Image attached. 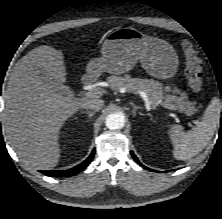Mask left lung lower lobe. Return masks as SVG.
I'll list each match as a JSON object with an SVG mask.
<instances>
[{"mask_svg":"<svg viewBox=\"0 0 222 219\" xmlns=\"http://www.w3.org/2000/svg\"><path fill=\"white\" fill-rule=\"evenodd\" d=\"M131 154H132V157L134 158V160L135 161H138V159H137V157L135 156V154L133 153V152H131ZM139 162V161H138ZM144 168H146L147 170H150L149 168H147V167H144ZM153 171V170H152Z\"/></svg>","mask_w":222,"mask_h":219,"instance_id":"0a47b994","label":"left lung lower lobe"}]
</instances>
